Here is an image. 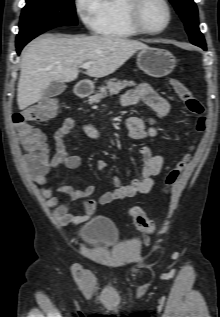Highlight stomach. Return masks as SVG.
I'll return each instance as SVG.
<instances>
[{"mask_svg": "<svg viewBox=\"0 0 220 317\" xmlns=\"http://www.w3.org/2000/svg\"><path fill=\"white\" fill-rule=\"evenodd\" d=\"M137 65L146 74L159 78L172 72L176 65V60L168 50L147 47L141 49L138 53ZM89 88L93 90L94 85L90 84Z\"/></svg>", "mask_w": 220, "mask_h": 317, "instance_id": "0dacf381", "label": "stomach"}]
</instances>
